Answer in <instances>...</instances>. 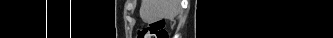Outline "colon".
Returning a JSON list of instances; mask_svg holds the SVG:
<instances>
[{
  "label": "colon",
  "instance_id": "5ec220e1",
  "mask_svg": "<svg viewBox=\"0 0 333 38\" xmlns=\"http://www.w3.org/2000/svg\"><path fill=\"white\" fill-rule=\"evenodd\" d=\"M138 38H168L165 21L163 19H156L147 23L138 31Z\"/></svg>",
  "mask_w": 333,
  "mask_h": 38
}]
</instances>
